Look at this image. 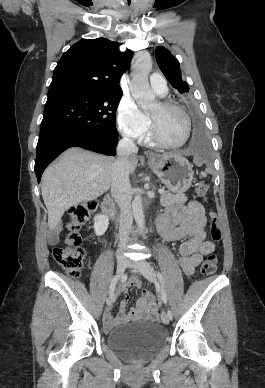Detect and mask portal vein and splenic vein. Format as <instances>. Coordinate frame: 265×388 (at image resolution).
<instances>
[{
    "instance_id": "18ae733b",
    "label": "portal vein and splenic vein",
    "mask_w": 265,
    "mask_h": 388,
    "mask_svg": "<svg viewBox=\"0 0 265 388\" xmlns=\"http://www.w3.org/2000/svg\"><path fill=\"white\" fill-rule=\"evenodd\" d=\"M93 186H97V184H93ZM159 194H163L164 190H158Z\"/></svg>"
}]
</instances>
